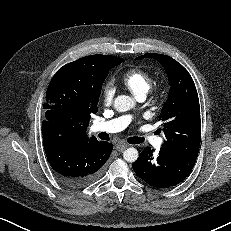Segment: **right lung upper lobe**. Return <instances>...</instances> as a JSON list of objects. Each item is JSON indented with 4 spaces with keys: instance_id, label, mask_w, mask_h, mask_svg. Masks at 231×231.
Listing matches in <instances>:
<instances>
[{
    "instance_id": "obj_1",
    "label": "right lung upper lobe",
    "mask_w": 231,
    "mask_h": 231,
    "mask_svg": "<svg viewBox=\"0 0 231 231\" xmlns=\"http://www.w3.org/2000/svg\"><path fill=\"white\" fill-rule=\"evenodd\" d=\"M108 55H91L86 56L81 59L91 60L93 62L94 68L98 67L102 59ZM90 117H74L72 120L67 122H61L57 119L45 116V121L49 122L59 133V135L70 141H86L90 142L97 140L95 137H87L86 126L89 123Z\"/></svg>"
}]
</instances>
